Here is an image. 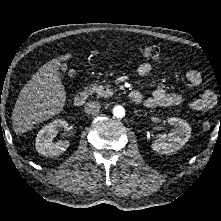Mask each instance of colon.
I'll return each mask as SVG.
<instances>
[{
    "label": "colon",
    "mask_w": 221,
    "mask_h": 221,
    "mask_svg": "<svg viewBox=\"0 0 221 221\" xmlns=\"http://www.w3.org/2000/svg\"><path fill=\"white\" fill-rule=\"evenodd\" d=\"M139 51L141 55L146 59L156 62H160L163 59L162 52L160 48L157 46H151V45L143 46L139 49ZM203 127L208 129L210 127V122L205 121L203 123Z\"/></svg>",
    "instance_id": "colon-1"
}]
</instances>
